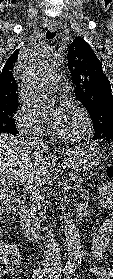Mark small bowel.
<instances>
[{
  "mask_svg": "<svg viewBox=\"0 0 113 279\" xmlns=\"http://www.w3.org/2000/svg\"><path fill=\"white\" fill-rule=\"evenodd\" d=\"M101 204L105 207L112 208L113 192H108ZM89 243L94 260L101 262L104 258L105 249H107L111 243L113 244V217L102 224L101 229L90 237ZM17 264L18 261L15 262V265ZM90 271L97 276V279H113V265L110 270L94 266L91 267Z\"/></svg>",
  "mask_w": 113,
  "mask_h": 279,
  "instance_id": "small-bowel-1",
  "label": "small bowel"
}]
</instances>
